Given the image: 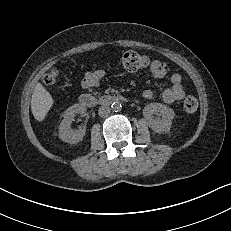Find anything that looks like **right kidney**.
Returning <instances> with one entry per match:
<instances>
[{
	"label": "right kidney",
	"instance_id": "ca27d5eb",
	"mask_svg": "<svg viewBox=\"0 0 231 231\" xmlns=\"http://www.w3.org/2000/svg\"><path fill=\"white\" fill-rule=\"evenodd\" d=\"M86 107L82 104H74L64 112V118L59 125V137L62 141L76 144L85 136V128L73 130L71 128L72 121L77 114H84Z\"/></svg>",
	"mask_w": 231,
	"mask_h": 231
}]
</instances>
